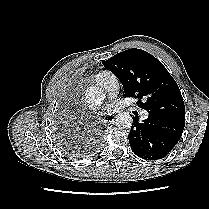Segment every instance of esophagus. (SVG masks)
I'll list each match as a JSON object with an SVG mask.
<instances>
[{"label":"esophagus","instance_id":"esophagus-1","mask_svg":"<svg viewBox=\"0 0 209 209\" xmlns=\"http://www.w3.org/2000/svg\"><path fill=\"white\" fill-rule=\"evenodd\" d=\"M114 120H115V116H108L104 122L105 123H113Z\"/></svg>","mask_w":209,"mask_h":209}]
</instances>
